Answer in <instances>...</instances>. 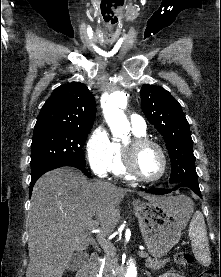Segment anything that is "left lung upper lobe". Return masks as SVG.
I'll list each match as a JSON object with an SVG mask.
<instances>
[{
  "instance_id": "1",
  "label": "left lung upper lobe",
  "mask_w": 221,
  "mask_h": 277,
  "mask_svg": "<svg viewBox=\"0 0 221 277\" xmlns=\"http://www.w3.org/2000/svg\"><path fill=\"white\" fill-rule=\"evenodd\" d=\"M141 108L166 142L172 161L169 182L198 184L190 128L179 102L164 88L144 84Z\"/></svg>"
}]
</instances>
